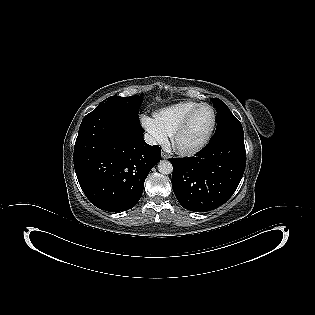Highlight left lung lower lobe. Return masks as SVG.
Returning a JSON list of instances; mask_svg holds the SVG:
<instances>
[{"mask_svg":"<svg viewBox=\"0 0 315 315\" xmlns=\"http://www.w3.org/2000/svg\"><path fill=\"white\" fill-rule=\"evenodd\" d=\"M245 164L244 138L227 136L214 140L194 157L172 159L174 194L188 210L215 209L233 195Z\"/></svg>","mask_w":315,"mask_h":315,"instance_id":"left-lung-lower-lobe-1","label":"left lung lower lobe"}]
</instances>
